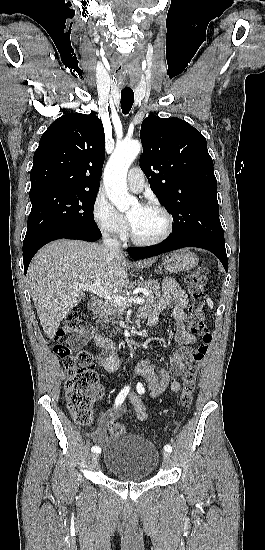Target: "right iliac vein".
<instances>
[{"label": "right iliac vein", "mask_w": 265, "mask_h": 550, "mask_svg": "<svg viewBox=\"0 0 265 550\" xmlns=\"http://www.w3.org/2000/svg\"><path fill=\"white\" fill-rule=\"evenodd\" d=\"M91 459H92V462H93L94 464H96L97 461H98V455H97L96 453L92 454Z\"/></svg>", "instance_id": "63e3f726"}]
</instances>
